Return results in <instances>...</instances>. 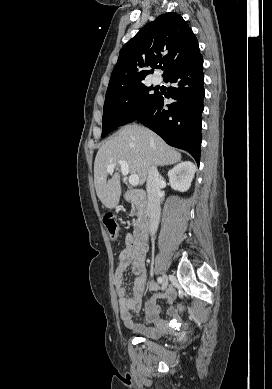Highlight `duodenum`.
<instances>
[{"label":"duodenum","instance_id":"duodenum-1","mask_svg":"<svg viewBox=\"0 0 272 389\" xmlns=\"http://www.w3.org/2000/svg\"><path fill=\"white\" fill-rule=\"evenodd\" d=\"M124 198L130 202H136L142 207V213L135 226L132 238L138 243H145L149 236L150 213L146 208L147 193L143 189L127 191Z\"/></svg>","mask_w":272,"mask_h":389}]
</instances>
